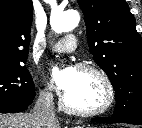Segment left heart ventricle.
<instances>
[{
  "label": "left heart ventricle",
  "instance_id": "left-heart-ventricle-1",
  "mask_svg": "<svg viewBox=\"0 0 142 128\" xmlns=\"http://www.w3.org/2000/svg\"><path fill=\"white\" fill-rule=\"evenodd\" d=\"M74 88L65 95L67 102L77 108L92 110L100 107L106 98L101 79L94 73L78 71Z\"/></svg>",
  "mask_w": 142,
  "mask_h": 128
}]
</instances>
